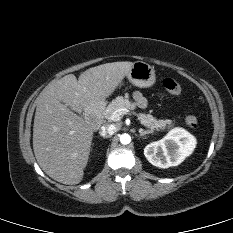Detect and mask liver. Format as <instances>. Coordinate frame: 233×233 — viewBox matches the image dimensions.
Wrapping results in <instances>:
<instances>
[{"label":"liver","instance_id":"obj_1","mask_svg":"<svg viewBox=\"0 0 233 233\" xmlns=\"http://www.w3.org/2000/svg\"><path fill=\"white\" fill-rule=\"evenodd\" d=\"M133 66L113 62L69 74L43 89L36 99L33 150L41 169L68 185L82 181L93 139L92 127L78 115L101 105Z\"/></svg>","mask_w":233,"mask_h":233}]
</instances>
